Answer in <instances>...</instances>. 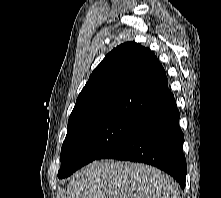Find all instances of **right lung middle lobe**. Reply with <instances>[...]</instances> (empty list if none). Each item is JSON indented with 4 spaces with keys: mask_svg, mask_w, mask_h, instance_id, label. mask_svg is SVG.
<instances>
[{
    "mask_svg": "<svg viewBox=\"0 0 221 198\" xmlns=\"http://www.w3.org/2000/svg\"><path fill=\"white\" fill-rule=\"evenodd\" d=\"M141 119L129 116H109L91 121L67 132L61 148L59 178L70 176L82 166L128 136Z\"/></svg>",
    "mask_w": 221,
    "mask_h": 198,
    "instance_id": "right-lung-middle-lobe-1",
    "label": "right lung middle lobe"
}]
</instances>
